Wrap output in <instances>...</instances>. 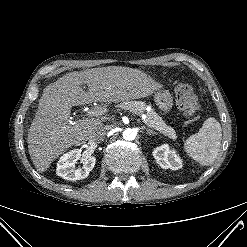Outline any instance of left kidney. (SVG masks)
I'll return each instance as SVG.
<instances>
[{
  "label": "left kidney",
  "instance_id": "1",
  "mask_svg": "<svg viewBox=\"0 0 247 247\" xmlns=\"http://www.w3.org/2000/svg\"><path fill=\"white\" fill-rule=\"evenodd\" d=\"M153 156L162 168L178 170L182 168V160L177 155L175 150H171L167 144L156 147L153 151Z\"/></svg>",
  "mask_w": 247,
  "mask_h": 247
}]
</instances>
